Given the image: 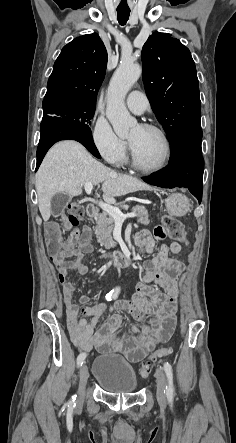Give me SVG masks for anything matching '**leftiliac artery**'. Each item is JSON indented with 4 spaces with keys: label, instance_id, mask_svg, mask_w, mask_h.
<instances>
[{
    "label": "left iliac artery",
    "instance_id": "obj_1",
    "mask_svg": "<svg viewBox=\"0 0 236 443\" xmlns=\"http://www.w3.org/2000/svg\"><path fill=\"white\" fill-rule=\"evenodd\" d=\"M164 371L167 376L166 395L168 400L171 402L174 396L173 371L172 366L168 362L164 363Z\"/></svg>",
    "mask_w": 236,
    "mask_h": 443
}]
</instances>
